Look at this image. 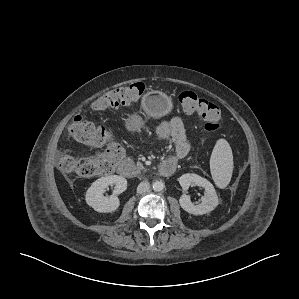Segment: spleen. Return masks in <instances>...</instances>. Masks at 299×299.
<instances>
[{"mask_svg":"<svg viewBox=\"0 0 299 299\" xmlns=\"http://www.w3.org/2000/svg\"><path fill=\"white\" fill-rule=\"evenodd\" d=\"M210 169L217 186L226 187L233 172V154L225 139H219L216 142L210 158Z\"/></svg>","mask_w":299,"mask_h":299,"instance_id":"obj_1","label":"spleen"}]
</instances>
